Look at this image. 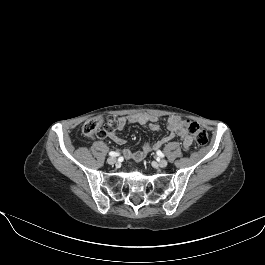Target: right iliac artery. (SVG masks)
<instances>
[{"mask_svg":"<svg viewBox=\"0 0 265 265\" xmlns=\"http://www.w3.org/2000/svg\"><path fill=\"white\" fill-rule=\"evenodd\" d=\"M109 155L112 156V157H114V156H118L119 154H118L117 152H113V151H111V152L109 153Z\"/></svg>","mask_w":265,"mask_h":265,"instance_id":"right-iliac-artery-1","label":"right iliac artery"}]
</instances>
